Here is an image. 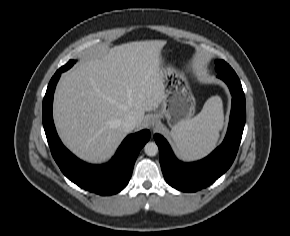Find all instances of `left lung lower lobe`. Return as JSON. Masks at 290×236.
I'll return each mask as SVG.
<instances>
[{
  "label": "left lung lower lobe",
  "instance_id": "left-lung-lower-lobe-1",
  "mask_svg": "<svg viewBox=\"0 0 290 236\" xmlns=\"http://www.w3.org/2000/svg\"><path fill=\"white\" fill-rule=\"evenodd\" d=\"M232 95L228 131L223 143L206 158L182 163L174 156L168 142L159 134L154 139L159 147V159L167 183L184 192H195L215 182L232 165L241 142L246 120L245 95L234 71L219 72Z\"/></svg>",
  "mask_w": 290,
  "mask_h": 236
}]
</instances>
